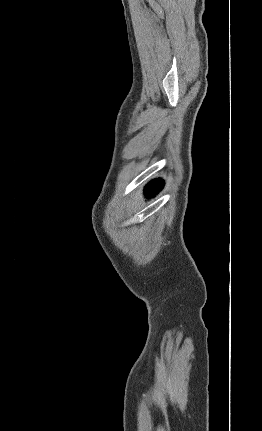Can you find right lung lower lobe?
I'll return each mask as SVG.
<instances>
[{"instance_id": "98d812e1", "label": "right lung lower lobe", "mask_w": 262, "mask_h": 431, "mask_svg": "<svg viewBox=\"0 0 262 431\" xmlns=\"http://www.w3.org/2000/svg\"><path fill=\"white\" fill-rule=\"evenodd\" d=\"M162 186L163 182L161 180L152 181L148 186H146L145 193L148 194V196H154Z\"/></svg>"}]
</instances>
